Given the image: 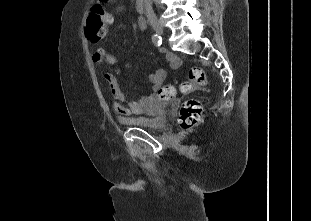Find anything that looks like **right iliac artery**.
I'll use <instances>...</instances> for the list:
<instances>
[{"label": "right iliac artery", "instance_id": "obj_1", "mask_svg": "<svg viewBox=\"0 0 311 221\" xmlns=\"http://www.w3.org/2000/svg\"><path fill=\"white\" fill-rule=\"evenodd\" d=\"M152 42L155 46H160L162 44V38L158 34H153Z\"/></svg>", "mask_w": 311, "mask_h": 221}]
</instances>
